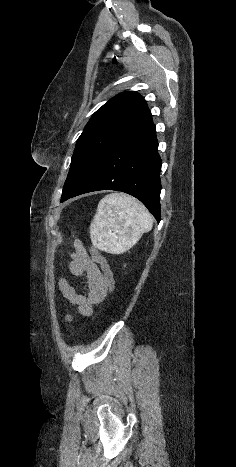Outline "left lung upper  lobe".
<instances>
[{"label":"left lung upper lobe","mask_w":236,"mask_h":467,"mask_svg":"<svg viewBox=\"0 0 236 467\" xmlns=\"http://www.w3.org/2000/svg\"><path fill=\"white\" fill-rule=\"evenodd\" d=\"M149 113L146 101L135 91L120 93L100 107L77 140L61 201L78 191L113 143Z\"/></svg>","instance_id":"obj_1"}]
</instances>
